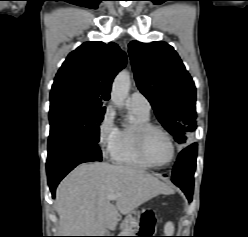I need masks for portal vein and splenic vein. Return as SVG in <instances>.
<instances>
[{
  "instance_id": "portal-vein-and-splenic-vein-1",
  "label": "portal vein and splenic vein",
  "mask_w": 248,
  "mask_h": 237,
  "mask_svg": "<svg viewBox=\"0 0 248 237\" xmlns=\"http://www.w3.org/2000/svg\"><path fill=\"white\" fill-rule=\"evenodd\" d=\"M118 196L119 195H117V194H110V195L107 196V199L110 200V201L111 200H116Z\"/></svg>"
}]
</instances>
